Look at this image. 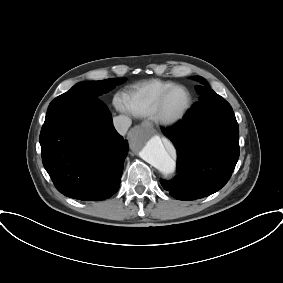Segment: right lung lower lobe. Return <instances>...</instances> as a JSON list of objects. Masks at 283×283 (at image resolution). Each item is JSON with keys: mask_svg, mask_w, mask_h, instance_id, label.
I'll return each mask as SVG.
<instances>
[{"mask_svg": "<svg viewBox=\"0 0 283 283\" xmlns=\"http://www.w3.org/2000/svg\"><path fill=\"white\" fill-rule=\"evenodd\" d=\"M39 141L43 165L63 195L99 201L118 191L128 143L98 99L47 113Z\"/></svg>", "mask_w": 283, "mask_h": 283, "instance_id": "1", "label": "right lung lower lobe"}]
</instances>
